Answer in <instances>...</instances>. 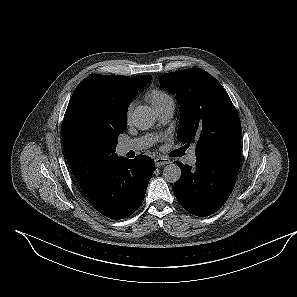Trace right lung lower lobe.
Wrapping results in <instances>:
<instances>
[{"instance_id": "obj_1", "label": "right lung lower lobe", "mask_w": 297, "mask_h": 297, "mask_svg": "<svg viewBox=\"0 0 297 297\" xmlns=\"http://www.w3.org/2000/svg\"><path fill=\"white\" fill-rule=\"evenodd\" d=\"M154 168V161L145 155L116 157L85 195L104 216L125 219L142 204Z\"/></svg>"}]
</instances>
